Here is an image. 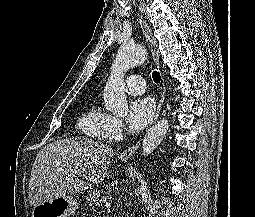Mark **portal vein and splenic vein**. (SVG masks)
<instances>
[{
  "instance_id": "1",
  "label": "portal vein and splenic vein",
  "mask_w": 255,
  "mask_h": 217,
  "mask_svg": "<svg viewBox=\"0 0 255 217\" xmlns=\"http://www.w3.org/2000/svg\"><path fill=\"white\" fill-rule=\"evenodd\" d=\"M105 206H106V207H110V206H111V202H107V201H106V202H105Z\"/></svg>"
}]
</instances>
